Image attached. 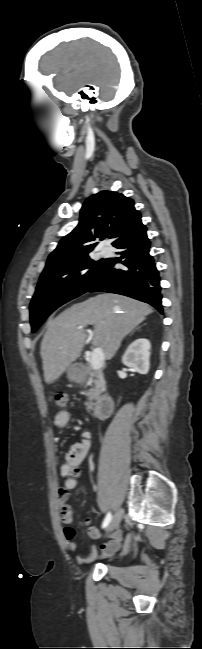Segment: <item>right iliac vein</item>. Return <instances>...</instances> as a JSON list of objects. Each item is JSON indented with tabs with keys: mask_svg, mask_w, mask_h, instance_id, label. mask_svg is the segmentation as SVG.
I'll list each match as a JSON object with an SVG mask.
<instances>
[{
	"mask_svg": "<svg viewBox=\"0 0 202 649\" xmlns=\"http://www.w3.org/2000/svg\"><path fill=\"white\" fill-rule=\"evenodd\" d=\"M122 513H123L122 509H120V508L115 512L111 522L109 523V526L107 528V532H111L112 530L118 528V526H119V524L121 522V519H122Z\"/></svg>",
	"mask_w": 202,
	"mask_h": 649,
	"instance_id": "1",
	"label": "right iliac vein"
}]
</instances>
